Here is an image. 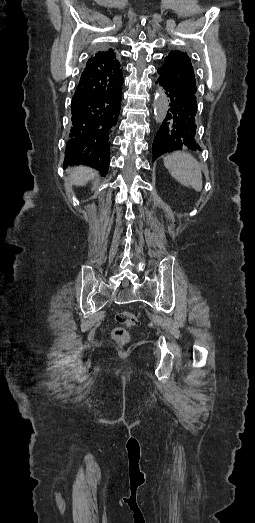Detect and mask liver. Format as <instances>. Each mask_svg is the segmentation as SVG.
Wrapping results in <instances>:
<instances>
[{"mask_svg":"<svg viewBox=\"0 0 255 523\" xmlns=\"http://www.w3.org/2000/svg\"><path fill=\"white\" fill-rule=\"evenodd\" d=\"M67 172H69L75 186H85V184L95 176L94 170H91V168H84V166L71 168V170H67Z\"/></svg>","mask_w":255,"mask_h":523,"instance_id":"6515ba94","label":"liver"}]
</instances>
